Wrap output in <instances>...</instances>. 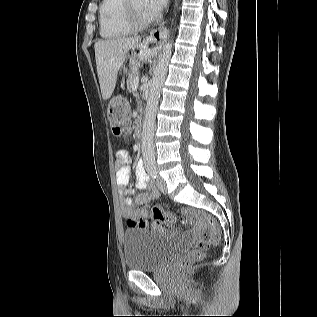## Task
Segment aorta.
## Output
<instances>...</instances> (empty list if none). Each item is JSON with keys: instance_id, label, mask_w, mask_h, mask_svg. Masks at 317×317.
I'll use <instances>...</instances> for the list:
<instances>
[{"instance_id": "762f6f07", "label": "aorta", "mask_w": 317, "mask_h": 317, "mask_svg": "<svg viewBox=\"0 0 317 317\" xmlns=\"http://www.w3.org/2000/svg\"><path fill=\"white\" fill-rule=\"evenodd\" d=\"M172 55V40L167 42L163 51L161 52L157 65L154 68L153 77L149 83V97L147 99L145 118L143 121L141 149L144 164L147 167H153L155 165V154H154V127L156 120V112L160 93L164 81L166 79L169 61Z\"/></svg>"}]
</instances>
